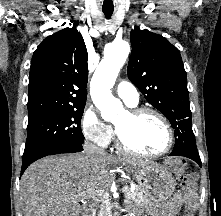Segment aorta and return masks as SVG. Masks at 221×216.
<instances>
[{"label":"aorta","mask_w":221,"mask_h":216,"mask_svg":"<svg viewBox=\"0 0 221 216\" xmlns=\"http://www.w3.org/2000/svg\"><path fill=\"white\" fill-rule=\"evenodd\" d=\"M129 52L130 45L127 41L121 40L111 43L106 48L104 58L91 79V98L105 121H111L123 112L122 102L113 97L111 88Z\"/></svg>","instance_id":"obj_1"}]
</instances>
